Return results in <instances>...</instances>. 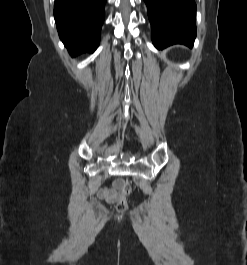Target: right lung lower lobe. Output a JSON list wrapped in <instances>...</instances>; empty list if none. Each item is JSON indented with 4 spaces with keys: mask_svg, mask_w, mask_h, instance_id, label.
Listing matches in <instances>:
<instances>
[{
    "mask_svg": "<svg viewBox=\"0 0 247 265\" xmlns=\"http://www.w3.org/2000/svg\"><path fill=\"white\" fill-rule=\"evenodd\" d=\"M105 3L106 0H55L57 30L71 56L97 49Z\"/></svg>",
    "mask_w": 247,
    "mask_h": 265,
    "instance_id": "right-lung-lower-lobe-1",
    "label": "right lung lower lobe"
}]
</instances>
